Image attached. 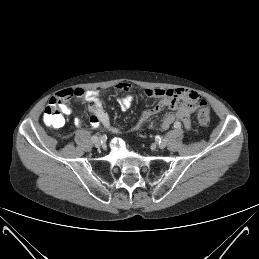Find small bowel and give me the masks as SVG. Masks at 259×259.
<instances>
[{"label":"small bowel","instance_id":"small-bowel-1","mask_svg":"<svg viewBox=\"0 0 259 259\" xmlns=\"http://www.w3.org/2000/svg\"><path fill=\"white\" fill-rule=\"evenodd\" d=\"M116 90L121 94H125L117 99V104L121 110L126 111L133 105L136 99L134 86L130 83L122 82L117 84ZM143 95L147 98L158 99V103L154 107L145 110L133 122L131 130H138L144 126L155 128L157 125L161 129L166 130L175 122L182 123L187 130L191 128L190 116L197 110L199 94L186 88H154L145 89ZM100 96L101 93L98 90L75 88L62 90L52 99L61 101L62 111L66 114L71 112V109L65 105L67 100L71 97L84 99L88 103L89 111L91 112L89 119L91 126L98 127L101 125L116 134L119 130L111 124L109 114L105 110ZM163 108H169L171 112L164 115L158 122L155 117ZM74 122L76 126H81L82 124L79 117H76Z\"/></svg>","mask_w":259,"mask_h":259}]
</instances>
